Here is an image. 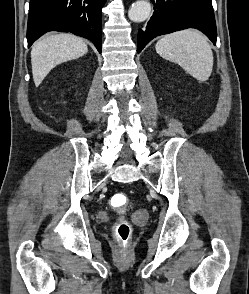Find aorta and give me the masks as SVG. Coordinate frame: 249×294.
I'll use <instances>...</instances> for the list:
<instances>
[{"label": "aorta", "mask_w": 249, "mask_h": 294, "mask_svg": "<svg viewBox=\"0 0 249 294\" xmlns=\"http://www.w3.org/2000/svg\"><path fill=\"white\" fill-rule=\"evenodd\" d=\"M151 14V4L147 0H138L130 7L128 17L133 22H143Z\"/></svg>", "instance_id": "762f6f07"}]
</instances>
